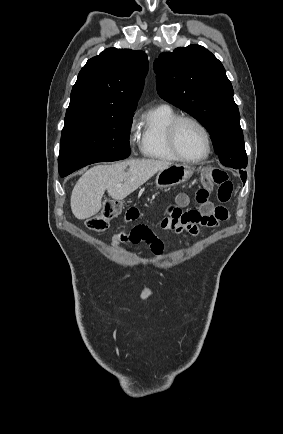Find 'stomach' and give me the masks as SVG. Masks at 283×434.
<instances>
[{
  "mask_svg": "<svg viewBox=\"0 0 283 434\" xmlns=\"http://www.w3.org/2000/svg\"><path fill=\"white\" fill-rule=\"evenodd\" d=\"M194 169L186 164H172L158 172L157 188H168L186 182L193 175Z\"/></svg>",
  "mask_w": 283,
  "mask_h": 434,
  "instance_id": "obj_1",
  "label": "stomach"
}]
</instances>
